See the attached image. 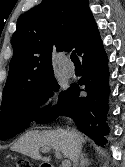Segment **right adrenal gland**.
<instances>
[{"label": "right adrenal gland", "mask_w": 125, "mask_h": 167, "mask_svg": "<svg viewBox=\"0 0 125 167\" xmlns=\"http://www.w3.org/2000/svg\"><path fill=\"white\" fill-rule=\"evenodd\" d=\"M90 164H91V162H90L89 158L87 157V155L82 153L80 155V167H87Z\"/></svg>", "instance_id": "2a0ac1e0"}]
</instances>
